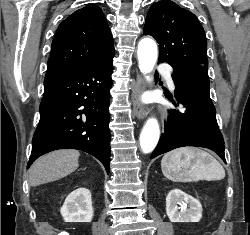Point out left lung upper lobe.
I'll return each instance as SVG.
<instances>
[{
  "label": "left lung upper lobe",
  "instance_id": "obj_1",
  "mask_svg": "<svg viewBox=\"0 0 250 235\" xmlns=\"http://www.w3.org/2000/svg\"><path fill=\"white\" fill-rule=\"evenodd\" d=\"M143 33L159 44V61L174 70L193 66L207 69V41L197 17L172 1L154 3L146 17Z\"/></svg>",
  "mask_w": 250,
  "mask_h": 235
}]
</instances>
